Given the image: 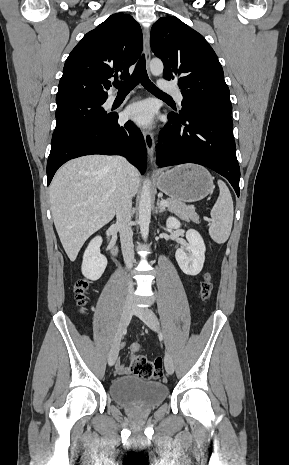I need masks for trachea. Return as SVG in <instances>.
I'll use <instances>...</instances> for the list:
<instances>
[{"label": "trachea", "instance_id": "obj_1", "mask_svg": "<svg viewBox=\"0 0 289 465\" xmlns=\"http://www.w3.org/2000/svg\"><path fill=\"white\" fill-rule=\"evenodd\" d=\"M139 83L147 89L148 91L171 98L166 93L159 90L149 79L146 71V62L145 57L142 56L136 64L133 74L125 81H116L113 83L114 87L118 89L119 92L131 91Z\"/></svg>", "mask_w": 289, "mask_h": 465}]
</instances>
